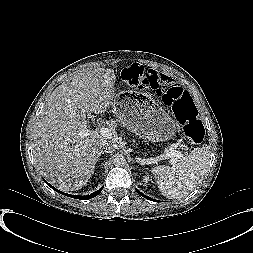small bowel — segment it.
Listing matches in <instances>:
<instances>
[{"label": "small bowel", "mask_w": 253, "mask_h": 253, "mask_svg": "<svg viewBox=\"0 0 253 253\" xmlns=\"http://www.w3.org/2000/svg\"><path fill=\"white\" fill-rule=\"evenodd\" d=\"M174 85L180 86L178 82L173 78H171L170 76L158 72L156 70L150 69L146 72V75L144 76L139 87L160 90Z\"/></svg>", "instance_id": "1"}]
</instances>
